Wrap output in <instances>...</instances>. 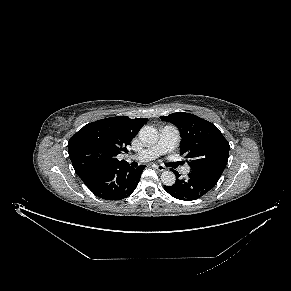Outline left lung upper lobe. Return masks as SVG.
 I'll return each mask as SVG.
<instances>
[{"label":"left lung upper lobe","instance_id":"5c2ea615","mask_svg":"<svg viewBox=\"0 0 291 291\" xmlns=\"http://www.w3.org/2000/svg\"><path fill=\"white\" fill-rule=\"evenodd\" d=\"M160 118L178 127L182 138L180 151L189 159L188 164L192 172L223 173L230 146L214 124L184 112H176Z\"/></svg>","mask_w":291,"mask_h":291}]
</instances>
